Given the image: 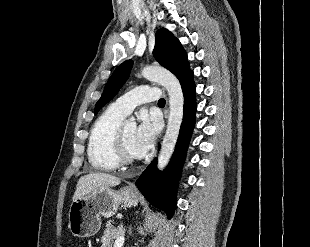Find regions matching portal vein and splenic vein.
I'll return each instance as SVG.
<instances>
[{"label":"portal vein and splenic vein","instance_id":"1","mask_svg":"<svg viewBox=\"0 0 310 247\" xmlns=\"http://www.w3.org/2000/svg\"><path fill=\"white\" fill-rule=\"evenodd\" d=\"M124 234H121L114 242V247H122L124 244Z\"/></svg>","mask_w":310,"mask_h":247}]
</instances>
